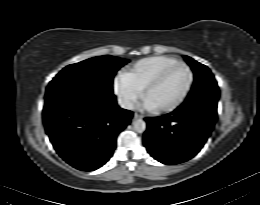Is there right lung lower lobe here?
Returning <instances> with one entry per match:
<instances>
[{
  "label": "right lung lower lobe",
  "mask_w": 260,
  "mask_h": 205,
  "mask_svg": "<svg viewBox=\"0 0 260 205\" xmlns=\"http://www.w3.org/2000/svg\"><path fill=\"white\" fill-rule=\"evenodd\" d=\"M132 115L117 105L113 93L92 84L61 81L46 90V133L56 152L82 171L96 170L110 159Z\"/></svg>",
  "instance_id": "1"
}]
</instances>
